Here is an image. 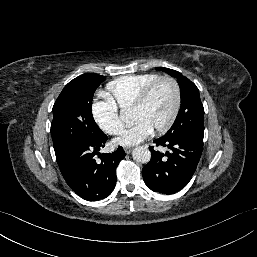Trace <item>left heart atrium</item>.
<instances>
[{"mask_svg": "<svg viewBox=\"0 0 257 257\" xmlns=\"http://www.w3.org/2000/svg\"><path fill=\"white\" fill-rule=\"evenodd\" d=\"M153 129L144 121H137L129 128L121 131L114 139V143L120 146H133L145 140Z\"/></svg>", "mask_w": 257, "mask_h": 257, "instance_id": "1", "label": "left heart atrium"}]
</instances>
